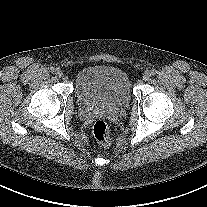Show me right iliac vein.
Masks as SVG:
<instances>
[{
	"instance_id": "1",
	"label": "right iliac vein",
	"mask_w": 207,
	"mask_h": 207,
	"mask_svg": "<svg viewBox=\"0 0 207 207\" xmlns=\"http://www.w3.org/2000/svg\"><path fill=\"white\" fill-rule=\"evenodd\" d=\"M55 74H56L57 77H61L63 73L60 69H56Z\"/></svg>"
}]
</instances>
